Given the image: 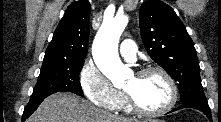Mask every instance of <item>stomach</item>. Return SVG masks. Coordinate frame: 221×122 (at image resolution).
Here are the masks:
<instances>
[{
  "label": "stomach",
  "mask_w": 221,
  "mask_h": 122,
  "mask_svg": "<svg viewBox=\"0 0 221 122\" xmlns=\"http://www.w3.org/2000/svg\"><path fill=\"white\" fill-rule=\"evenodd\" d=\"M146 122H165V121L158 120V119H150V120H147Z\"/></svg>",
  "instance_id": "0dacf381"
}]
</instances>
